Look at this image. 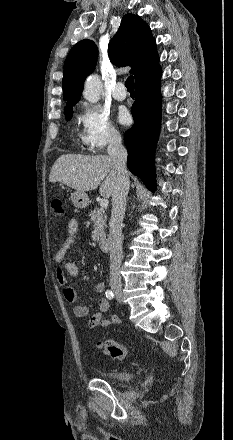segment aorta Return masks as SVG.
<instances>
[{"label":"aorta","instance_id":"obj_1","mask_svg":"<svg viewBox=\"0 0 233 440\" xmlns=\"http://www.w3.org/2000/svg\"><path fill=\"white\" fill-rule=\"evenodd\" d=\"M102 91V82L98 75H90L84 86L83 96L90 103H96Z\"/></svg>","mask_w":233,"mask_h":440}]
</instances>
